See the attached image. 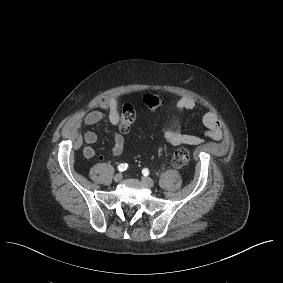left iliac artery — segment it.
<instances>
[{
    "mask_svg": "<svg viewBox=\"0 0 283 283\" xmlns=\"http://www.w3.org/2000/svg\"><path fill=\"white\" fill-rule=\"evenodd\" d=\"M142 173L144 176H148L149 175V170L147 168L142 170Z\"/></svg>",
    "mask_w": 283,
    "mask_h": 283,
    "instance_id": "left-iliac-artery-1",
    "label": "left iliac artery"
}]
</instances>
